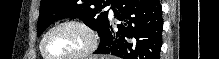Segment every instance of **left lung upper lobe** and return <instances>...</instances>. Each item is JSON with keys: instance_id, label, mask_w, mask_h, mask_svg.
Returning <instances> with one entry per match:
<instances>
[{"instance_id": "obj_1", "label": "left lung upper lobe", "mask_w": 219, "mask_h": 59, "mask_svg": "<svg viewBox=\"0 0 219 59\" xmlns=\"http://www.w3.org/2000/svg\"><path fill=\"white\" fill-rule=\"evenodd\" d=\"M114 0H41L37 24V36L53 22L63 18L78 17L85 25L96 30L100 36L109 21L108 12L103 8Z\"/></svg>"}]
</instances>
